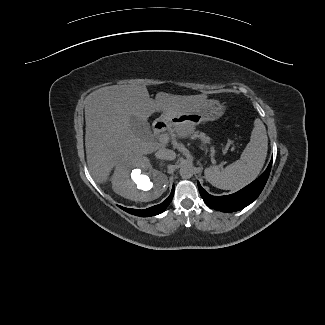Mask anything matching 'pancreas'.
I'll return each mask as SVG.
<instances>
[{
    "label": "pancreas",
    "mask_w": 325,
    "mask_h": 325,
    "mask_svg": "<svg viewBox=\"0 0 325 325\" xmlns=\"http://www.w3.org/2000/svg\"><path fill=\"white\" fill-rule=\"evenodd\" d=\"M194 137L200 138L205 143H208L210 141V138L207 137L204 133H195Z\"/></svg>",
    "instance_id": "pancreas-1"
}]
</instances>
